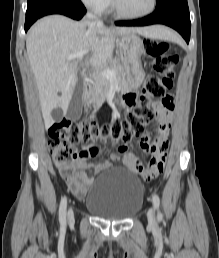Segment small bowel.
Instances as JSON below:
<instances>
[{"instance_id":"small-bowel-1","label":"small bowel","mask_w":219,"mask_h":258,"mask_svg":"<svg viewBox=\"0 0 219 258\" xmlns=\"http://www.w3.org/2000/svg\"><path fill=\"white\" fill-rule=\"evenodd\" d=\"M135 100L136 97L133 93L125 95V102L128 106H132ZM154 109L159 124L158 135L153 141H150L148 136H144L141 139V148L151 154V158L146 162V166H143L140 159L129 151L127 144L118 148V151L122 154L121 160L124 167L133 173L141 175L143 183H156V178H160V175H164L163 168L167 158L168 138L174 110L173 96L167 95L161 101H156L154 103ZM152 147L156 148L152 149ZM160 147H164V149ZM84 150L87 152V156L79 160L78 171L72 178L67 180L69 190L78 198H83L87 194L95 176L110 168L111 161L116 162L120 160L118 154L112 153L110 155V161L105 160L98 164L89 163L86 159L89 156L97 155L99 153V147L92 146ZM93 150L96 151L95 154H91ZM87 172H91L92 175H88Z\"/></svg>"}]
</instances>
